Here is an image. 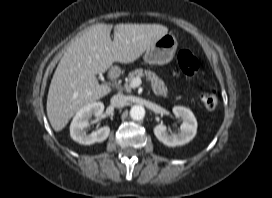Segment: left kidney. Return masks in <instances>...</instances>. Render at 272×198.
Segmentation results:
<instances>
[{"label": "left kidney", "mask_w": 272, "mask_h": 198, "mask_svg": "<svg viewBox=\"0 0 272 198\" xmlns=\"http://www.w3.org/2000/svg\"><path fill=\"white\" fill-rule=\"evenodd\" d=\"M173 113L176 117L182 119L180 126L181 132L178 134L168 135L167 128L163 124L154 127V134L157 139L169 147L184 145L190 142L197 132V120L192 111L183 106H175Z\"/></svg>", "instance_id": "1"}]
</instances>
